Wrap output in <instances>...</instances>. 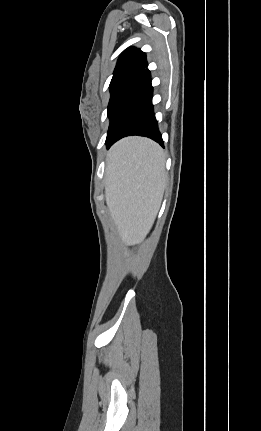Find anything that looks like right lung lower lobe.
I'll use <instances>...</instances> for the list:
<instances>
[{
	"label": "right lung lower lobe",
	"instance_id": "98d812e1",
	"mask_svg": "<svg viewBox=\"0 0 261 431\" xmlns=\"http://www.w3.org/2000/svg\"><path fill=\"white\" fill-rule=\"evenodd\" d=\"M153 88L148 69H144L120 101L109 129L107 148L125 136L139 135L163 146L152 105Z\"/></svg>",
	"mask_w": 261,
	"mask_h": 431
}]
</instances>
